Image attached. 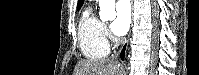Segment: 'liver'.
Returning a JSON list of instances; mask_svg holds the SVG:
<instances>
[{
	"instance_id": "liver-1",
	"label": "liver",
	"mask_w": 199,
	"mask_h": 75,
	"mask_svg": "<svg viewBox=\"0 0 199 75\" xmlns=\"http://www.w3.org/2000/svg\"><path fill=\"white\" fill-rule=\"evenodd\" d=\"M74 75H121V67L114 60H83L76 65Z\"/></svg>"
}]
</instances>
